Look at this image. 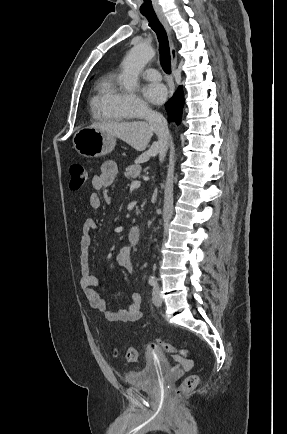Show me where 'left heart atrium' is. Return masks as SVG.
<instances>
[{
  "mask_svg": "<svg viewBox=\"0 0 287 434\" xmlns=\"http://www.w3.org/2000/svg\"><path fill=\"white\" fill-rule=\"evenodd\" d=\"M144 96L153 104H162L167 97V90L161 83L147 84L143 88Z\"/></svg>",
  "mask_w": 287,
  "mask_h": 434,
  "instance_id": "left-heart-atrium-1",
  "label": "left heart atrium"
}]
</instances>
